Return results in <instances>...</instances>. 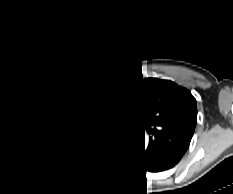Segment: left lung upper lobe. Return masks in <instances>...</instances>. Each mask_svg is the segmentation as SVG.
<instances>
[{"mask_svg": "<svg viewBox=\"0 0 233 194\" xmlns=\"http://www.w3.org/2000/svg\"><path fill=\"white\" fill-rule=\"evenodd\" d=\"M141 107L150 134L148 154L181 158L197 123V104L190 91L168 80L147 78L129 86Z\"/></svg>", "mask_w": 233, "mask_h": 194, "instance_id": "1", "label": "left lung upper lobe"}]
</instances>
